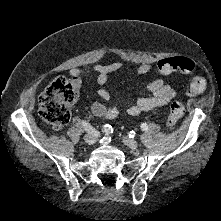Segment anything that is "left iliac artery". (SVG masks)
I'll return each mask as SVG.
<instances>
[{"instance_id": "obj_1", "label": "left iliac artery", "mask_w": 221, "mask_h": 221, "mask_svg": "<svg viewBox=\"0 0 221 221\" xmlns=\"http://www.w3.org/2000/svg\"><path fill=\"white\" fill-rule=\"evenodd\" d=\"M141 129L144 131V130H147L148 129V126L146 123H143L141 124Z\"/></svg>"}]
</instances>
